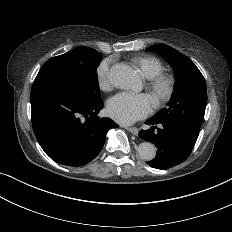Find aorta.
<instances>
[{"mask_svg": "<svg viewBox=\"0 0 232 232\" xmlns=\"http://www.w3.org/2000/svg\"><path fill=\"white\" fill-rule=\"evenodd\" d=\"M108 77L113 86L121 89H135L140 82L135 70L123 63L113 65ZM137 152L142 160L150 161L156 155V147L150 142H143L139 144Z\"/></svg>", "mask_w": 232, "mask_h": 232, "instance_id": "1", "label": "aorta"}]
</instances>
